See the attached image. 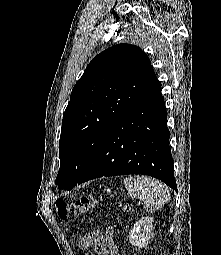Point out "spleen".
Segmentation results:
<instances>
[{
  "mask_svg": "<svg viewBox=\"0 0 221 255\" xmlns=\"http://www.w3.org/2000/svg\"><path fill=\"white\" fill-rule=\"evenodd\" d=\"M124 185L132 198L144 202L145 209L154 212L170 199L168 187L147 176H131L124 179Z\"/></svg>",
  "mask_w": 221,
  "mask_h": 255,
  "instance_id": "spleen-1",
  "label": "spleen"
}]
</instances>
